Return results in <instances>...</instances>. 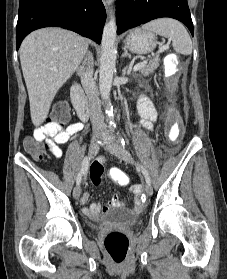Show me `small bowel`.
I'll return each mask as SVG.
<instances>
[{
  "label": "small bowel",
  "mask_w": 227,
  "mask_h": 279,
  "mask_svg": "<svg viewBox=\"0 0 227 279\" xmlns=\"http://www.w3.org/2000/svg\"><path fill=\"white\" fill-rule=\"evenodd\" d=\"M138 111L142 117V123L145 127L150 128L152 122L157 119V109L155 105L151 102V100L142 95L139 98L138 103ZM81 129V125L78 123L68 124L64 129L57 130L52 125H45L39 129H37L32 137L28 138L29 140H37L44 141L48 151L54 155L55 157H60L62 154L60 145L66 143L70 136L75 134ZM115 169H108L106 171L107 174L112 175V172ZM105 171L102 170L97 174H91L90 182L93 186H99L101 183V177L104 175ZM135 191H138V187H134ZM89 196L87 193H84L81 197V202L85 204L88 200ZM118 203L117 198L112 199L108 205H116ZM101 209V205L99 203H93L91 205L83 207L82 211L86 215H92L99 212Z\"/></svg>",
  "instance_id": "obj_1"
}]
</instances>
